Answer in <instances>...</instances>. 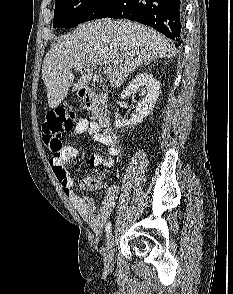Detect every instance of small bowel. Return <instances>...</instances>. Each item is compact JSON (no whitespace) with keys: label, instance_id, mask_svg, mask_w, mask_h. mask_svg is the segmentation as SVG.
<instances>
[{"label":"small bowel","instance_id":"c3829d8e","mask_svg":"<svg viewBox=\"0 0 233 294\" xmlns=\"http://www.w3.org/2000/svg\"><path fill=\"white\" fill-rule=\"evenodd\" d=\"M70 133L73 135L86 133L91 136L95 142L107 147L106 156H102L97 153L90 156L89 164L91 166H113L114 159L120 152L115 135H107L103 132L100 125L96 121H89L85 118L78 120ZM77 156L78 150L76 147L66 146L62 150L60 157H53L50 160V166L55 178L61 185L64 193L68 196L74 208L94 232H100L115 208L116 202L120 195V187L116 184L108 186L101 202L100 209L96 212L94 200L89 196L79 193L75 189L73 180L69 175L67 167L75 161ZM95 177L100 187L104 179V174L102 172H98Z\"/></svg>","mask_w":233,"mask_h":294}]
</instances>
